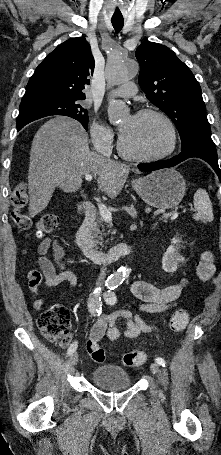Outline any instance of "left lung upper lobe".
<instances>
[{"mask_svg": "<svg viewBox=\"0 0 221 455\" xmlns=\"http://www.w3.org/2000/svg\"><path fill=\"white\" fill-rule=\"evenodd\" d=\"M135 55L140 64L139 85L176 125L181 149L195 141L213 142L201 88L188 66L168 47L149 41Z\"/></svg>", "mask_w": 221, "mask_h": 455, "instance_id": "5c2ea615", "label": "left lung upper lobe"}]
</instances>
